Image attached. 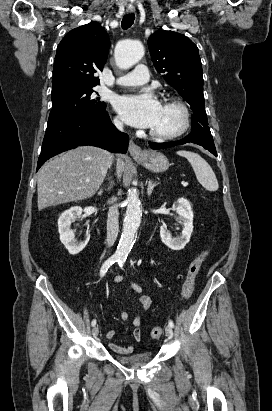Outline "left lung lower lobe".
I'll list each match as a JSON object with an SVG mask.
<instances>
[{
	"label": "left lung lower lobe",
	"mask_w": 272,
	"mask_h": 411,
	"mask_svg": "<svg viewBox=\"0 0 272 411\" xmlns=\"http://www.w3.org/2000/svg\"><path fill=\"white\" fill-rule=\"evenodd\" d=\"M185 143H196L200 146H203L205 149L210 151L213 155L217 156L216 148H215L214 141H213L210 130L191 132L189 135H187L185 138L179 141H173V142H167V143L149 142V145L152 149L158 150V149L168 148V147H172L176 145H182Z\"/></svg>",
	"instance_id": "1"
}]
</instances>
